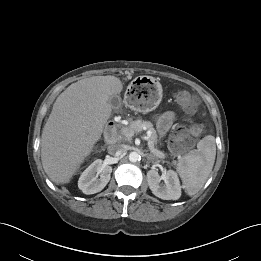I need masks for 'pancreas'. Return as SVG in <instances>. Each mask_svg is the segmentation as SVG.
Segmentation results:
<instances>
[{
    "label": "pancreas",
    "mask_w": 261,
    "mask_h": 261,
    "mask_svg": "<svg viewBox=\"0 0 261 261\" xmlns=\"http://www.w3.org/2000/svg\"><path fill=\"white\" fill-rule=\"evenodd\" d=\"M124 130L133 133H140L143 130H147L149 132V142L153 146V149H150L152 155L150 156L153 159H164L165 154L157 148L158 143V135L156 130L153 128L151 122L143 121L141 119L131 121L130 124L126 127H122L120 130L121 135L123 136V140H130V138L124 135Z\"/></svg>",
    "instance_id": "1"
}]
</instances>
